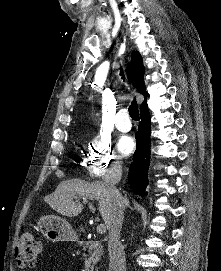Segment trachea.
<instances>
[{
	"label": "trachea",
	"instance_id": "1",
	"mask_svg": "<svg viewBox=\"0 0 221 271\" xmlns=\"http://www.w3.org/2000/svg\"><path fill=\"white\" fill-rule=\"evenodd\" d=\"M121 76H122V79H124V74L122 71H121ZM128 111H129V114H130L132 120H139L140 119L139 111H138V104L135 99H133V101L131 102V104L128 108Z\"/></svg>",
	"mask_w": 221,
	"mask_h": 271
}]
</instances>
